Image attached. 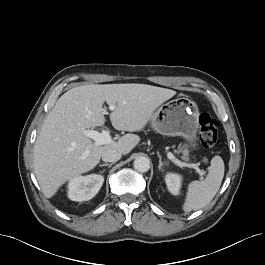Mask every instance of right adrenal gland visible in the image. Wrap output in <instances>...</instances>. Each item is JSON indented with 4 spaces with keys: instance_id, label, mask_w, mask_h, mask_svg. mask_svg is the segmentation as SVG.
Returning <instances> with one entry per match:
<instances>
[{
    "instance_id": "1",
    "label": "right adrenal gland",
    "mask_w": 265,
    "mask_h": 265,
    "mask_svg": "<svg viewBox=\"0 0 265 265\" xmlns=\"http://www.w3.org/2000/svg\"><path fill=\"white\" fill-rule=\"evenodd\" d=\"M113 165V163H104V164H99V166H108L109 168Z\"/></svg>"
}]
</instances>
